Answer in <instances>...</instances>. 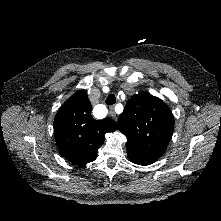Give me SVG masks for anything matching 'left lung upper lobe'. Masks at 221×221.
<instances>
[{
    "mask_svg": "<svg viewBox=\"0 0 221 221\" xmlns=\"http://www.w3.org/2000/svg\"><path fill=\"white\" fill-rule=\"evenodd\" d=\"M118 128L127 136L130 161L150 165L164 153L174 130V118L161 99L140 93L127 102L119 117Z\"/></svg>",
    "mask_w": 221,
    "mask_h": 221,
    "instance_id": "obj_1",
    "label": "left lung upper lobe"
}]
</instances>
